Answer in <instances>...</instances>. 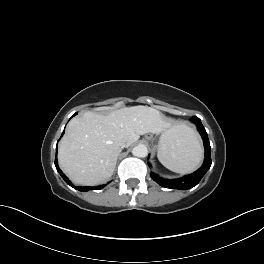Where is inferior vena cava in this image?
<instances>
[{
	"label": "inferior vena cava",
	"mask_w": 264,
	"mask_h": 264,
	"mask_svg": "<svg viewBox=\"0 0 264 264\" xmlns=\"http://www.w3.org/2000/svg\"><path fill=\"white\" fill-rule=\"evenodd\" d=\"M120 146L123 148V147H125V144L124 143H120Z\"/></svg>",
	"instance_id": "602c4592"
}]
</instances>
